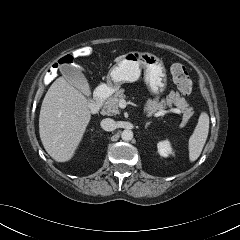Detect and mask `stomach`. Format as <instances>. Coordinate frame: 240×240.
<instances>
[{"mask_svg": "<svg viewBox=\"0 0 240 240\" xmlns=\"http://www.w3.org/2000/svg\"><path fill=\"white\" fill-rule=\"evenodd\" d=\"M144 70V81L153 95H159L167 86V75L163 61L148 52L131 51L114 65L107 76V85L118 89L123 83H132L141 76Z\"/></svg>", "mask_w": 240, "mask_h": 240, "instance_id": "1", "label": "stomach"}]
</instances>
